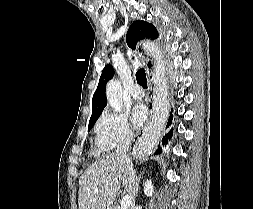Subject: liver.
<instances>
[{"mask_svg": "<svg viewBox=\"0 0 253 209\" xmlns=\"http://www.w3.org/2000/svg\"><path fill=\"white\" fill-rule=\"evenodd\" d=\"M121 184L131 197L125 159L110 154L98 160L87 168L79 180V209H112Z\"/></svg>", "mask_w": 253, "mask_h": 209, "instance_id": "obj_1", "label": "liver"}]
</instances>
